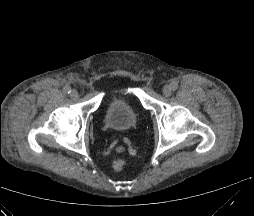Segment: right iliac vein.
Here are the masks:
<instances>
[{"instance_id": "right-iliac-vein-1", "label": "right iliac vein", "mask_w": 254, "mask_h": 216, "mask_svg": "<svg viewBox=\"0 0 254 216\" xmlns=\"http://www.w3.org/2000/svg\"><path fill=\"white\" fill-rule=\"evenodd\" d=\"M71 98L75 99L78 97V91L77 90H72L71 94H70Z\"/></svg>"}]
</instances>
